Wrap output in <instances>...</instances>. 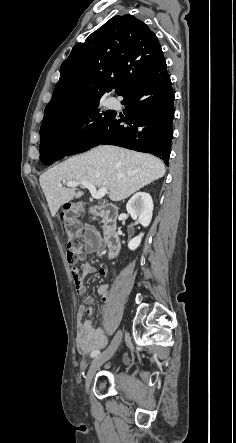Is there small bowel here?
Here are the masks:
<instances>
[{
	"label": "small bowel",
	"instance_id": "small-bowel-1",
	"mask_svg": "<svg viewBox=\"0 0 236 443\" xmlns=\"http://www.w3.org/2000/svg\"><path fill=\"white\" fill-rule=\"evenodd\" d=\"M84 249L89 254L100 255L103 251L104 242L93 227L86 226L83 233ZM95 272V268L90 264L85 263L82 269L77 267L71 268V274L73 276L76 293L84 295L87 291V287L83 280V274H91ZM109 270L107 267H102L99 270L101 276H106ZM110 285L103 284L98 288V293L106 299L109 295ZM95 299L92 296H86L83 300V304L79 308V317L84 314L93 315L94 309L90 306L86 307L85 304H93ZM106 345V336L104 330L97 326L91 319L80 321L76 333V348L80 354H86L93 352L94 350L103 348Z\"/></svg>",
	"mask_w": 236,
	"mask_h": 443
}]
</instances>
